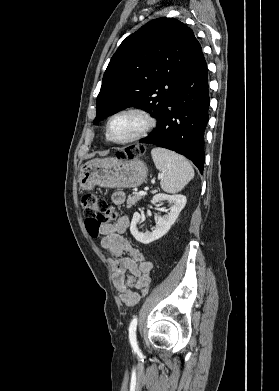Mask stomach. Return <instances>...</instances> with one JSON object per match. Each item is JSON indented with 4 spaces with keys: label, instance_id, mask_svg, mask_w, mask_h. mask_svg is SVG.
<instances>
[{
    "label": "stomach",
    "instance_id": "obj_1",
    "mask_svg": "<svg viewBox=\"0 0 279 391\" xmlns=\"http://www.w3.org/2000/svg\"><path fill=\"white\" fill-rule=\"evenodd\" d=\"M147 174L146 164L138 159H93L81 166L78 182L84 190H92L95 186L135 188L143 183Z\"/></svg>",
    "mask_w": 279,
    "mask_h": 391
}]
</instances>
